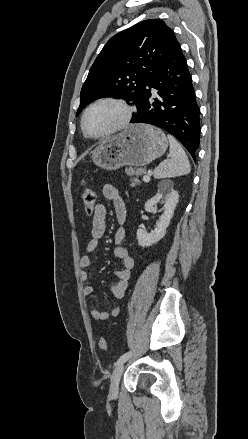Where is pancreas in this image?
I'll return each mask as SVG.
<instances>
[{
	"label": "pancreas",
	"mask_w": 248,
	"mask_h": 439,
	"mask_svg": "<svg viewBox=\"0 0 248 439\" xmlns=\"http://www.w3.org/2000/svg\"><path fill=\"white\" fill-rule=\"evenodd\" d=\"M126 173L129 176H133V178L131 179V186L135 187L136 185L140 184V180L139 177L141 175L146 174V169L145 168H139V169H127Z\"/></svg>",
	"instance_id": "cf45deb5"
}]
</instances>
